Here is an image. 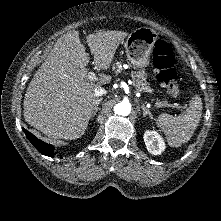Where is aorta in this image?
Returning a JSON list of instances; mask_svg holds the SVG:
<instances>
[{
	"label": "aorta",
	"instance_id": "aorta-1",
	"mask_svg": "<svg viewBox=\"0 0 221 221\" xmlns=\"http://www.w3.org/2000/svg\"><path fill=\"white\" fill-rule=\"evenodd\" d=\"M114 112L117 115L127 116L131 112V104L128 101H121L114 106Z\"/></svg>",
	"mask_w": 221,
	"mask_h": 221
}]
</instances>
